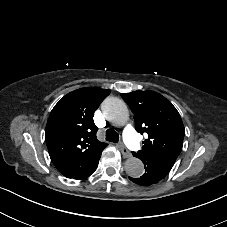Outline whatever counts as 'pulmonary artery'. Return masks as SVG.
I'll list each match as a JSON object with an SVG mask.
<instances>
[{
    "instance_id": "obj_1",
    "label": "pulmonary artery",
    "mask_w": 227,
    "mask_h": 227,
    "mask_svg": "<svg viewBox=\"0 0 227 227\" xmlns=\"http://www.w3.org/2000/svg\"><path fill=\"white\" fill-rule=\"evenodd\" d=\"M136 139H137V136L133 130L128 129L125 131L123 140L129 148L134 149L137 147L138 142Z\"/></svg>"
}]
</instances>
